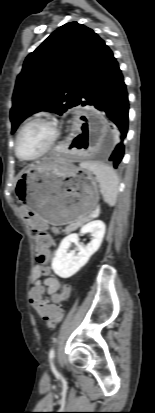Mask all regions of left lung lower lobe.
Segmentation results:
<instances>
[{"instance_id": "left-lung-lower-lobe-1", "label": "left lung lower lobe", "mask_w": 155, "mask_h": 413, "mask_svg": "<svg viewBox=\"0 0 155 413\" xmlns=\"http://www.w3.org/2000/svg\"><path fill=\"white\" fill-rule=\"evenodd\" d=\"M80 104L92 105L119 129L121 141L109 158L117 168L124 156L129 103L121 70L109 48L89 77Z\"/></svg>"}]
</instances>
